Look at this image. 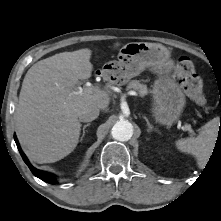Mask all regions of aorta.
Wrapping results in <instances>:
<instances>
[{
  "instance_id": "1",
  "label": "aorta",
  "mask_w": 221,
  "mask_h": 221,
  "mask_svg": "<svg viewBox=\"0 0 221 221\" xmlns=\"http://www.w3.org/2000/svg\"><path fill=\"white\" fill-rule=\"evenodd\" d=\"M111 134L118 141H128L133 135V126L127 120H120L112 127Z\"/></svg>"
}]
</instances>
